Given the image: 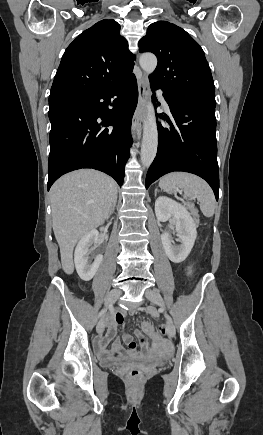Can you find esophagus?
<instances>
[{
    "instance_id": "obj_1",
    "label": "esophagus",
    "mask_w": 263,
    "mask_h": 435,
    "mask_svg": "<svg viewBox=\"0 0 263 435\" xmlns=\"http://www.w3.org/2000/svg\"><path fill=\"white\" fill-rule=\"evenodd\" d=\"M148 89L149 82L147 76L145 74H142V76L138 80V105L132 120V129L135 134H138L142 129V124L144 121L146 107L148 103Z\"/></svg>"
}]
</instances>
